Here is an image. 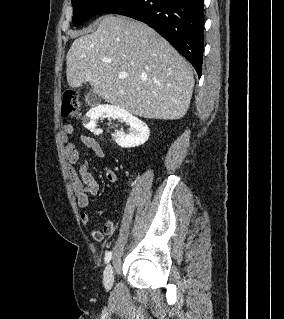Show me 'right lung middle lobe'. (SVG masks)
<instances>
[{
  "mask_svg": "<svg viewBox=\"0 0 284 319\" xmlns=\"http://www.w3.org/2000/svg\"><path fill=\"white\" fill-rule=\"evenodd\" d=\"M130 0H72L73 25L79 26L92 16L103 12H110Z\"/></svg>",
  "mask_w": 284,
  "mask_h": 319,
  "instance_id": "obj_1",
  "label": "right lung middle lobe"
}]
</instances>
